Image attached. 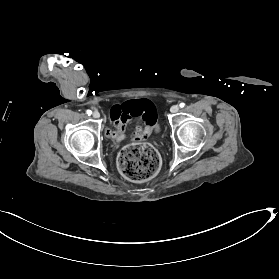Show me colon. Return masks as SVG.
Masks as SVG:
<instances>
[{"label":"colon","mask_w":279,"mask_h":279,"mask_svg":"<svg viewBox=\"0 0 279 279\" xmlns=\"http://www.w3.org/2000/svg\"><path fill=\"white\" fill-rule=\"evenodd\" d=\"M160 156L149 144L125 147L119 154L118 167L121 174L131 181H145L160 168Z\"/></svg>","instance_id":"5ec220e1"}]
</instances>
